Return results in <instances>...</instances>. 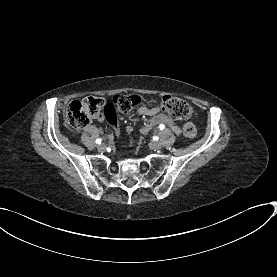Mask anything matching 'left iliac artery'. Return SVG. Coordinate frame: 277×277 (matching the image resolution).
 <instances>
[{
  "label": "left iliac artery",
  "mask_w": 277,
  "mask_h": 277,
  "mask_svg": "<svg viewBox=\"0 0 277 277\" xmlns=\"http://www.w3.org/2000/svg\"><path fill=\"white\" fill-rule=\"evenodd\" d=\"M164 128H165V125H164V124H161V125L159 126V129H160V130H164Z\"/></svg>",
  "instance_id": "1"
}]
</instances>
